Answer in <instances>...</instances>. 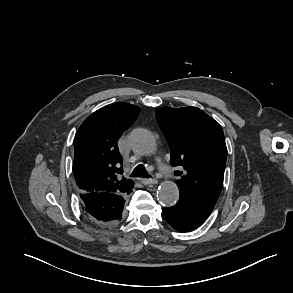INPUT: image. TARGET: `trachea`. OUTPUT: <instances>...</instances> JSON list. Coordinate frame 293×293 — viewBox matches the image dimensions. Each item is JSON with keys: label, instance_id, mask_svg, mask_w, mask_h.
Returning <instances> with one entry per match:
<instances>
[{"label": "trachea", "instance_id": "1", "mask_svg": "<svg viewBox=\"0 0 293 293\" xmlns=\"http://www.w3.org/2000/svg\"><path fill=\"white\" fill-rule=\"evenodd\" d=\"M131 177H143V178H149V175L144 167V165L139 164L136 166V168L133 170Z\"/></svg>", "mask_w": 293, "mask_h": 293}]
</instances>
